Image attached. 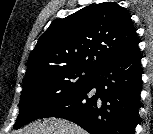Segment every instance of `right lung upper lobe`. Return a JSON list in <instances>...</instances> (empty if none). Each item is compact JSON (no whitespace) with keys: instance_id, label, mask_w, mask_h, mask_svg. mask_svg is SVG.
Instances as JSON below:
<instances>
[{"instance_id":"1","label":"right lung upper lobe","mask_w":153,"mask_h":134,"mask_svg":"<svg viewBox=\"0 0 153 134\" xmlns=\"http://www.w3.org/2000/svg\"><path fill=\"white\" fill-rule=\"evenodd\" d=\"M137 45L130 15L121 6L90 5L50 24L29 55L25 78L60 67L94 70Z\"/></svg>"}]
</instances>
